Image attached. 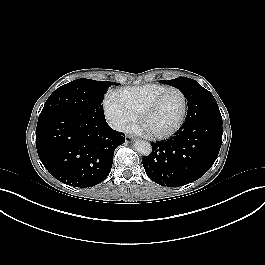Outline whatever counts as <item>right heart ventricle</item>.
<instances>
[{"instance_id": "right-heart-ventricle-1", "label": "right heart ventricle", "mask_w": 265, "mask_h": 265, "mask_svg": "<svg viewBox=\"0 0 265 265\" xmlns=\"http://www.w3.org/2000/svg\"><path fill=\"white\" fill-rule=\"evenodd\" d=\"M165 88L166 86L164 85L149 83L132 88H123L118 92L124 103L139 118L148 103Z\"/></svg>"}]
</instances>
